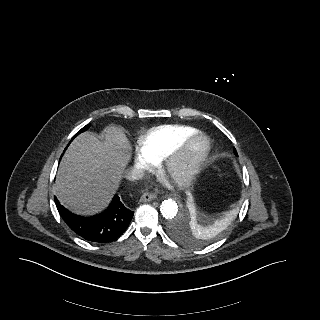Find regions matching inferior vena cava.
Returning <instances> with one entry per match:
<instances>
[{"mask_svg": "<svg viewBox=\"0 0 320 320\" xmlns=\"http://www.w3.org/2000/svg\"><path fill=\"white\" fill-rule=\"evenodd\" d=\"M144 176V172L140 169H128L125 172V177L130 181L139 180Z\"/></svg>", "mask_w": 320, "mask_h": 320, "instance_id": "1", "label": "inferior vena cava"}]
</instances>
